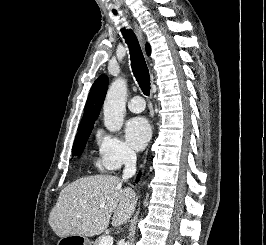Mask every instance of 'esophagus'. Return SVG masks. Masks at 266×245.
Returning a JSON list of instances; mask_svg holds the SVG:
<instances>
[{
	"instance_id": "esophagus-1",
	"label": "esophagus",
	"mask_w": 266,
	"mask_h": 245,
	"mask_svg": "<svg viewBox=\"0 0 266 245\" xmlns=\"http://www.w3.org/2000/svg\"><path fill=\"white\" fill-rule=\"evenodd\" d=\"M134 28L136 30L137 36H138V38L140 40V43H141L142 47L145 48V42H144V38H143L142 32H141L140 28L138 27V25L136 24V22H134ZM145 162H146V160H145Z\"/></svg>"
}]
</instances>
